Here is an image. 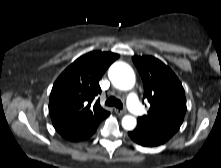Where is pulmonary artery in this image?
I'll return each instance as SVG.
<instances>
[{"mask_svg": "<svg viewBox=\"0 0 221 168\" xmlns=\"http://www.w3.org/2000/svg\"><path fill=\"white\" fill-rule=\"evenodd\" d=\"M127 106L134 115H142L144 112V109L134 92H131L127 96Z\"/></svg>", "mask_w": 221, "mask_h": 168, "instance_id": "pulmonary-artery-1", "label": "pulmonary artery"}]
</instances>
